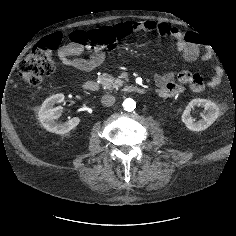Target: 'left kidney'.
Instances as JSON below:
<instances>
[{
    "mask_svg": "<svg viewBox=\"0 0 236 236\" xmlns=\"http://www.w3.org/2000/svg\"><path fill=\"white\" fill-rule=\"evenodd\" d=\"M195 106H201L206 110V114L202 119L195 121L190 115V111ZM220 115L219 107L212 101L207 99L196 98L189 102L182 115V122L191 131H202L211 126Z\"/></svg>",
    "mask_w": 236,
    "mask_h": 236,
    "instance_id": "5707ae66",
    "label": "left kidney"
}]
</instances>
